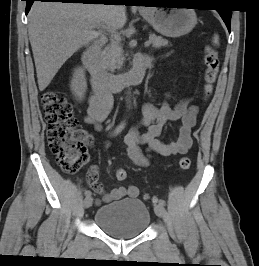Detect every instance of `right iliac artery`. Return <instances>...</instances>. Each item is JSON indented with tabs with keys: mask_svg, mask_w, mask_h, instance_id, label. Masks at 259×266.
Wrapping results in <instances>:
<instances>
[{
	"mask_svg": "<svg viewBox=\"0 0 259 266\" xmlns=\"http://www.w3.org/2000/svg\"><path fill=\"white\" fill-rule=\"evenodd\" d=\"M124 127H125V121L121 122V123L116 127V129H115L114 132H113V136L119 134V133L124 129ZM85 196H86V197H91V191L86 190V191H85Z\"/></svg>",
	"mask_w": 259,
	"mask_h": 266,
	"instance_id": "obj_1",
	"label": "right iliac artery"
}]
</instances>
